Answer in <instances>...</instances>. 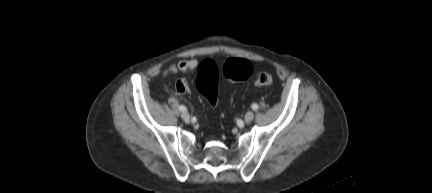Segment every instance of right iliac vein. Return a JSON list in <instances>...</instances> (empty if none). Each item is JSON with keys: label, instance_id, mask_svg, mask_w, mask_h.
<instances>
[{"label": "right iliac vein", "instance_id": "63e3f726", "mask_svg": "<svg viewBox=\"0 0 432 193\" xmlns=\"http://www.w3.org/2000/svg\"><path fill=\"white\" fill-rule=\"evenodd\" d=\"M181 118L185 121V122H188L189 120H190V116H189V114H188V112H182V114H181Z\"/></svg>", "mask_w": 432, "mask_h": 193}]
</instances>
